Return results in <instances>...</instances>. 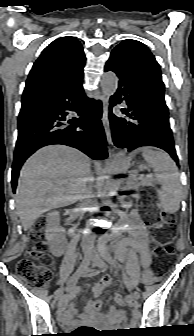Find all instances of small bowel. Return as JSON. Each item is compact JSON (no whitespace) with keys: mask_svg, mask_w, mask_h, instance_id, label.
Returning a JSON list of instances; mask_svg holds the SVG:
<instances>
[{"mask_svg":"<svg viewBox=\"0 0 194 336\" xmlns=\"http://www.w3.org/2000/svg\"><path fill=\"white\" fill-rule=\"evenodd\" d=\"M129 235L130 237L126 240H122L117 248V254L120 260H127L126 249L128 247L132 248L135 253L139 256L140 263L143 267V276L149 277L151 275L150 263L151 255L149 252V237L147 232V227L144 222L135 214H131L129 218ZM131 272L136 275L138 263L136 259L130 258L128 260ZM113 282L111 276H104L100 281L93 287V294L98 298L104 288L109 286ZM114 299L118 303H122V296L120 293L114 294ZM103 302L101 299H96L94 301H89L85 306L83 320L88 324H96L98 321L95 317L96 311L102 308ZM60 319L65 325H73L77 323L75 319V309L72 306H68L66 299L61 302ZM124 315L115 309L114 306H110L107 315L102 322L104 324L113 325L116 322L123 320Z\"/></svg>","mask_w":194,"mask_h":336,"instance_id":"small-bowel-1","label":"small bowel"}]
</instances>
